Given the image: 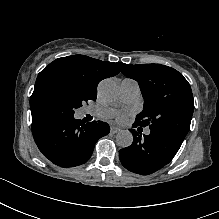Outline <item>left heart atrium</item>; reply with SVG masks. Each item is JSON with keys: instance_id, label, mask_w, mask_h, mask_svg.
Listing matches in <instances>:
<instances>
[{"instance_id": "obj_1", "label": "left heart atrium", "mask_w": 219, "mask_h": 219, "mask_svg": "<svg viewBox=\"0 0 219 219\" xmlns=\"http://www.w3.org/2000/svg\"><path fill=\"white\" fill-rule=\"evenodd\" d=\"M123 118H124L123 116H120V117H119L120 120H122Z\"/></svg>"}]
</instances>
